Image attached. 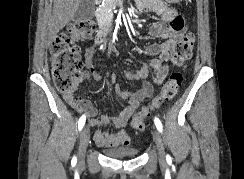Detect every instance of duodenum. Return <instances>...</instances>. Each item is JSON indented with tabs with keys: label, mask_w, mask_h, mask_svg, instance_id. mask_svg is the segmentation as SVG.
<instances>
[{
	"label": "duodenum",
	"mask_w": 244,
	"mask_h": 179,
	"mask_svg": "<svg viewBox=\"0 0 244 179\" xmlns=\"http://www.w3.org/2000/svg\"><path fill=\"white\" fill-rule=\"evenodd\" d=\"M95 3H103L104 0H94ZM120 26L119 22L116 24V26L109 27L105 29V26L102 25L99 32L97 33L95 37V41L98 43H102L106 39H108L110 36L113 35V33L118 29Z\"/></svg>",
	"instance_id": "obj_1"
}]
</instances>
